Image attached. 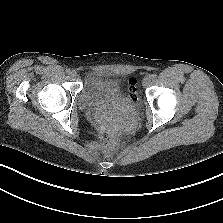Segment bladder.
<instances>
[{
	"label": "bladder",
	"instance_id": "1",
	"mask_svg": "<svg viewBox=\"0 0 223 223\" xmlns=\"http://www.w3.org/2000/svg\"><path fill=\"white\" fill-rule=\"evenodd\" d=\"M82 108L100 107L105 104L120 106L136 105L122 89L121 79L107 72H93L88 75L78 96Z\"/></svg>",
	"mask_w": 223,
	"mask_h": 223
}]
</instances>
